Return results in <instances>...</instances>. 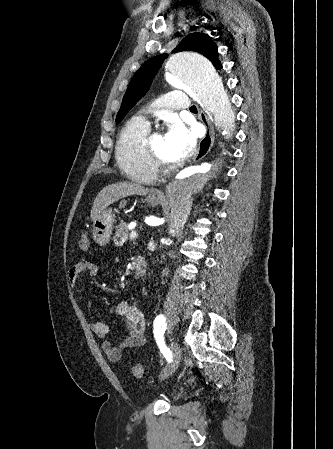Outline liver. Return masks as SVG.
<instances>
[{
    "instance_id": "liver-1",
    "label": "liver",
    "mask_w": 333,
    "mask_h": 449,
    "mask_svg": "<svg viewBox=\"0 0 333 449\" xmlns=\"http://www.w3.org/2000/svg\"><path fill=\"white\" fill-rule=\"evenodd\" d=\"M148 193V188L129 181L110 184L103 188L96 196L91 210V219L94 220L97 218L106 207L122 198L132 195L144 196Z\"/></svg>"
}]
</instances>
